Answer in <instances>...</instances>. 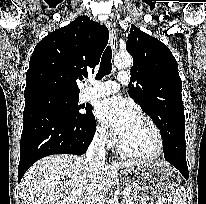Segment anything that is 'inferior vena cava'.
Wrapping results in <instances>:
<instances>
[{
	"label": "inferior vena cava",
	"instance_id": "obj_1",
	"mask_svg": "<svg viewBox=\"0 0 206 204\" xmlns=\"http://www.w3.org/2000/svg\"><path fill=\"white\" fill-rule=\"evenodd\" d=\"M107 136L105 132L96 134L86 152V162L90 164V174L91 176H96L99 174V167L103 164L105 160V143ZM102 195L96 190L92 189L89 193L85 204H102Z\"/></svg>",
	"mask_w": 206,
	"mask_h": 204
}]
</instances>
